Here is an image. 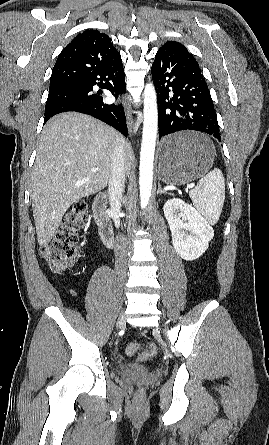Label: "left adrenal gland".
Listing matches in <instances>:
<instances>
[{"label": "left adrenal gland", "mask_w": 269, "mask_h": 445, "mask_svg": "<svg viewBox=\"0 0 269 445\" xmlns=\"http://www.w3.org/2000/svg\"><path fill=\"white\" fill-rule=\"evenodd\" d=\"M157 194H170V195H171L170 192H167V191L162 190V188H161V184H160V183H158Z\"/></svg>", "instance_id": "left-adrenal-gland-1"}]
</instances>
